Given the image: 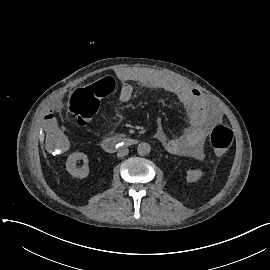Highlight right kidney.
Masks as SVG:
<instances>
[{"label":"right kidney","mask_w":270,"mask_h":270,"mask_svg":"<svg viewBox=\"0 0 270 270\" xmlns=\"http://www.w3.org/2000/svg\"><path fill=\"white\" fill-rule=\"evenodd\" d=\"M81 159L84 160V165L82 168L79 169L76 167V162L77 160H81ZM66 169L74 177H78V178L87 177L89 173L87 155L81 152H75L71 154L67 159Z\"/></svg>","instance_id":"obj_1"}]
</instances>
